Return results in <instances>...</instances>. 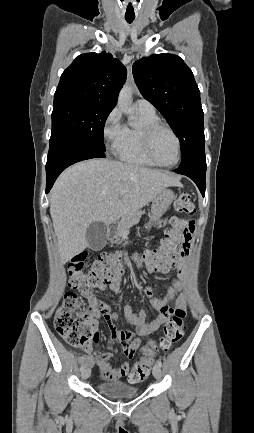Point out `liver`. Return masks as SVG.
Here are the masks:
<instances>
[{
    "mask_svg": "<svg viewBox=\"0 0 254 433\" xmlns=\"http://www.w3.org/2000/svg\"><path fill=\"white\" fill-rule=\"evenodd\" d=\"M169 186H180V182L165 171L108 159L83 161L65 170L50 198L61 263L88 247L86 230L91 223H114L146 206ZM121 191H125L123 196Z\"/></svg>",
    "mask_w": 254,
    "mask_h": 433,
    "instance_id": "1",
    "label": "liver"
}]
</instances>
